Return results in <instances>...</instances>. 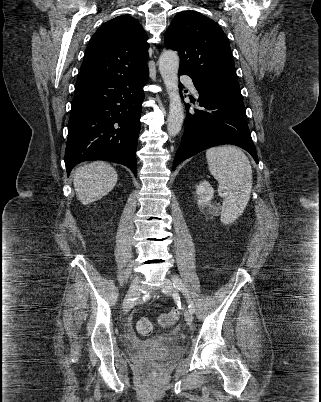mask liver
I'll use <instances>...</instances> for the list:
<instances>
[{
	"label": "liver",
	"mask_w": 321,
	"mask_h": 402,
	"mask_svg": "<svg viewBox=\"0 0 321 402\" xmlns=\"http://www.w3.org/2000/svg\"><path fill=\"white\" fill-rule=\"evenodd\" d=\"M117 183V173L108 163L95 161L77 168L73 184L78 200L90 204L107 195Z\"/></svg>",
	"instance_id": "obj_1"
}]
</instances>
